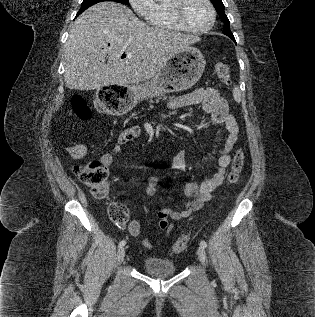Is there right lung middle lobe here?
<instances>
[{
	"label": "right lung middle lobe",
	"mask_w": 315,
	"mask_h": 317,
	"mask_svg": "<svg viewBox=\"0 0 315 317\" xmlns=\"http://www.w3.org/2000/svg\"><path fill=\"white\" fill-rule=\"evenodd\" d=\"M103 1H114V2H118V3H122V4H129V0H83L82 4H81V9L78 12V15L80 13H82L84 10H86L87 8H89L90 6L99 3V2H103Z\"/></svg>",
	"instance_id": "obj_1"
}]
</instances>
